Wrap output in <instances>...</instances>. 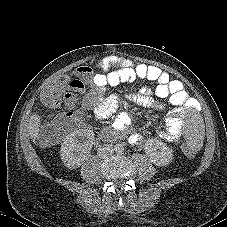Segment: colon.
<instances>
[{"label": "colon", "instance_id": "1", "mask_svg": "<svg viewBox=\"0 0 227 227\" xmlns=\"http://www.w3.org/2000/svg\"><path fill=\"white\" fill-rule=\"evenodd\" d=\"M67 89V79L57 78L46 84L40 92L41 103L50 109H60L63 106V92ZM70 123L64 118L58 117L45 127L40 135V143L49 146L58 143L67 133ZM181 154L187 161L194 159V149L190 144L184 143Z\"/></svg>", "mask_w": 227, "mask_h": 227}]
</instances>
